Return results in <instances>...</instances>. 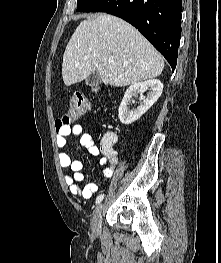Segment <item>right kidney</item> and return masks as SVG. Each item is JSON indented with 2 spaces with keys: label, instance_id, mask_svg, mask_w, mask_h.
Listing matches in <instances>:
<instances>
[{
  "label": "right kidney",
  "instance_id": "right-kidney-1",
  "mask_svg": "<svg viewBox=\"0 0 221 263\" xmlns=\"http://www.w3.org/2000/svg\"><path fill=\"white\" fill-rule=\"evenodd\" d=\"M163 90V84L158 79H150L131 85L125 92L119 106L118 116L122 124L129 125L138 120L158 100ZM148 91L147 97L143 95ZM140 94V105L130 110L128 105L133 96Z\"/></svg>",
  "mask_w": 221,
  "mask_h": 263
}]
</instances>
